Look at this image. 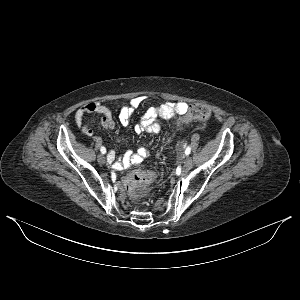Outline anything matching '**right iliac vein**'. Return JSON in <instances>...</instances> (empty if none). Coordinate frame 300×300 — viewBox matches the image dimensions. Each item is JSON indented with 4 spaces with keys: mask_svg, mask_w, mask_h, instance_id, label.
Returning <instances> with one entry per match:
<instances>
[{
    "mask_svg": "<svg viewBox=\"0 0 300 300\" xmlns=\"http://www.w3.org/2000/svg\"><path fill=\"white\" fill-rule=\"evenodd\" d=\"M97 160L100 164H105L106 160L103 154H99Z\"/></svg>",
    "mask_w": 300,
    "mask_h": 300,
    "instance_id": "1",
    "label": "right iliac vein"
}]
</instances>
